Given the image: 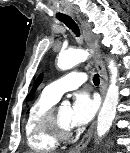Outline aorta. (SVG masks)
Segmentation results:
<instances>
[{
    "mask_svg": "<svg viewBox=\"0 0 130 153\" xmlns=\"http://www.w3.org/2000/svg\"><path fill=\"white\" fill-rule=\"evenodd\" d=\"M88 51L84 49H75L72 51H63L58 56L57 66L61 70H68L77 64L84 62L88 58ZM110 71V85L108 87L102 108L97 120V135L104 136L110 129L116 115V109L119 101V87L117 86L118 69L114 60L110 59L108 63ZM64 105H69L68 101Z\"/></svg>",
    "mask_w": 130,
    "mask_h": 153,
    "instance_id": "obj_1",
    "label": "aorta"
}]
</instances>
